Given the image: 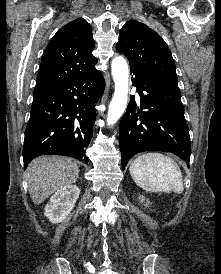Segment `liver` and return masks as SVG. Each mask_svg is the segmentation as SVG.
<instances>
[{
  "instance_id": "6515ba94",
  "label": "liver",
  "mask_w": 221,
  "mask_h": 274,
  "mask_svg": "<svg viewBox=\"0 0 221 274\" xmlns=\"http://www.w3.org/2000/svg\"><path fill=\"white\" fill-rule=\"evenodd\" d=\"M77 164L70 158L43 156L32 161L26 170L28 191L34 204L39 205L54 192L76 182Z\"/></svg>"
}]
</instances>
